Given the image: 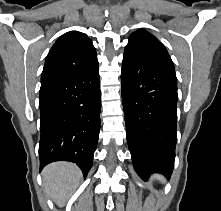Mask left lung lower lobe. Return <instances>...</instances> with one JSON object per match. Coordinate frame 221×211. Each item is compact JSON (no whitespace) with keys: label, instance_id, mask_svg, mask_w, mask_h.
<instances>
[{"label":"left lung lower lobe","instance_id":"obj_1","mask_svg":"<svg viewBox=\"0 0 221 211\" xmlns=\"http://www.w3.org/2000/svg\"><path fill=\"white\" fill-rule=\"evenodd\" d=\"M121 83L126 136L136 172L145 179L155 172L169 178L177 141L175 71L124 56Z\"/></svg>","mask_w":221,"mask_h":211}]
</instances>
